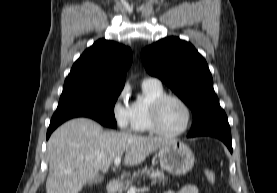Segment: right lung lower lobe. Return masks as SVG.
Returning <instances> with one entry per match:
<instances>
[{
  "label": "right lung lower lobe",
  "mask_w": 277,
  "mask_h": 193,
  "mask_svg": "<svg viewBox=\"0 0 277 193\" xmlns=\"http://www.w3.org/2000/svg\"><path fill=\"white\" fill-rule=\"evenodd\" d=\"M75 117H85V116H81V115H75V114H54L49 128L47 130V139L49 138V136L51 135V133L63 122H65L68 119L71 118H75Z\"/></svg>",
  "instance_id": "1"
}]
</instances>
